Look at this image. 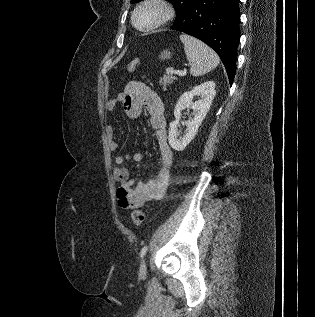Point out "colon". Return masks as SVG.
Segmentation results:
<instances>
[{"mask_svg": "<svg viewBox=\"0 0 315 317\" xmlns=\"http://www.w3.org/2000/svg\"><path fill=\"white\" fill-rule=\"evenodd\" d=\"M139 65H140L139 59H137V58L132 59L127 64V71L132 73V72L137 70ZM144 219H145V215H144L142 210L136 209L131 213V220H132L133 224L136 226H140L144 222Z\"/></svg>", "mask_w": 315, "mask_h": 317, "instance_id": "obj_1", "label": "colon"}]
</instances>
